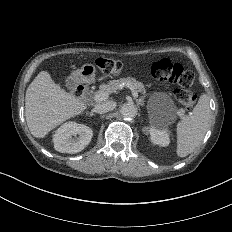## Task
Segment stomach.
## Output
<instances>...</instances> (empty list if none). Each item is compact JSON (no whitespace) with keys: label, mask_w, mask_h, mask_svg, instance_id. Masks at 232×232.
Returning <instances> with one entry per match:
<instances>
[{"label":"stomach","mask_w":232,"mask_h":232,"mask_svg":"<svg viewBox=\"0 0 232 232\" xmlns=\"http://www.w3.org/2000/svg\"><path fill=\"white\" fill-rule=\"evenodd\" d=\"M79 72L81 73V76L84 77L86 82H92L95 77L96 69L92 64H84Z\"/></svg>","instance_id":"obj_1"}]
</instances>
